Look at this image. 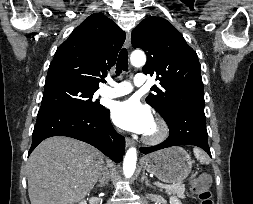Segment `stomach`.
<instances>
[{"label":"stomach","instance_id":"obj_1","mask_svg":"<svg viewBox=\"0 0 253 204\" xmlns=\"http://www.w3.org/2000/svg\"><path fill=\"white\" fill-rule=\"evenodd\" d=\"M192 160L181 147H172L143 158L144 169L164 183H178L188 177Z\"/></svg>","mask_w":253,"mask_h":204}]
</instances>
